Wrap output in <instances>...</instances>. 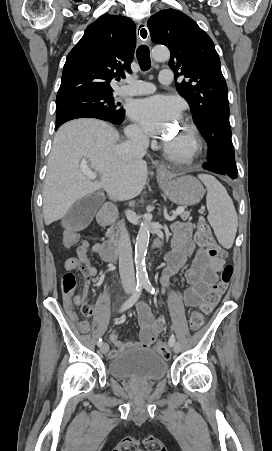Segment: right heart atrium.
I'll use <instances>...</instances> for the list:
<instances>
[{
  "label": "right heart atrium",
  "instance_id": "d8ad5b80",
  "mask_svg": "<svg viewBox=\"0 0 272 451\" xmlns=\"http://www.w3.org/2000/svg\"><path fill=\"white\" fill-rule=\"evenodd\" d=\"M130 129L133 135H139L141 133V128L137 124H132Z\"/></svg>",
  "mask_w": 272,
  "mask_h": 451
}]
</instances>
